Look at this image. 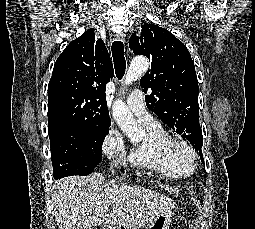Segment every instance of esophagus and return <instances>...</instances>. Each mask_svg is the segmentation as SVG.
Returning <instances> with one entry per match:
<instances>
[{
	"instance_id": "esophagus-1",
	"label": "esophagus",
	"mask_w": 255,
	"mask_h": 229,
	"mask_svg": "<svg viewBox=\"0 0 255 229\" xmlns=\"http://www.w3.org/2000/svg\"><path fill=\"white\" fill-rule=\"evenodd\" d=\"M116 39L124 43L125 42V33L124 32H120L117 35Z\"/></svg>"
}]
</instances>
